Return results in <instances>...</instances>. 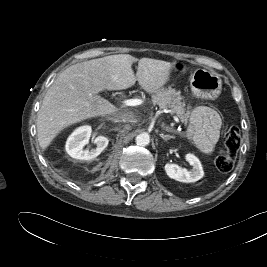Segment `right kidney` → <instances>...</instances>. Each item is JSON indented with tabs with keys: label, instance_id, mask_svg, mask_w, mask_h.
<instances>
[{
	"label": "right kidney",
	"instance_id": "1",
	"mask_svg": "<svg viewBox=\"0 0 267 267\" xmlns=\"http://www.w3.org/2000/svg\"><path fill=\"white\" fill-rule=\"evenodd\" d=\"M91 132L90 126H82L75 129L68 137L65 149L72 158L91 160L100 155L107 147L109 140L104 136H97L94 140L96 148L83 150V147L89 142Z\"/></svg>",
	"mask_w": 267,
	"mask_h": 267
}]
</instances>
